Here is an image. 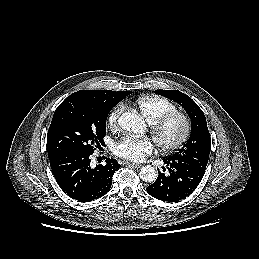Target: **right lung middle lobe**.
I'll use <instances>...</instances> for the list:
<instances>
[{"instance_id":"dd1d6c3e","label":"right lung middle lobe","mask_w":259,"mask_h":259,"mask_svg":"<svg viewBox=\"0 0 259 259\" xmlns=\"http://www.w3.org/2000/svg\"><path fill=\"white\" fill-rule=\"evenodd\" d=\"M115 103L70 95L55 110L47 134L49 159L69 152H94L103 144L106 119Z\"/></svg>"}]
</instances>
